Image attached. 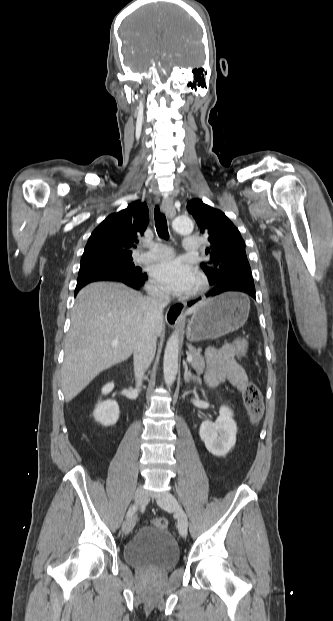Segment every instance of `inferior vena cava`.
<instances>
[{"label":"inferior vena cava","mask_w":333,"mask_h":621,"mask_svg":"<svg viewBox=\"0 0 333 621\" xmlns=\"http://www.w3.org/2000/svg\"><path fill=\"white\" fill-rule=\"evenodd\" d=\"M170 302V293L162 288H156L149 292L145 298L147 309L146 322L141 327L134 347V373L136 387L142 385L145 371L151 365L155 352L158 335L157 325L163 321V309Z\"/></svg>","instance_id":"inferior-vena-cava-1"}]
</instances>
